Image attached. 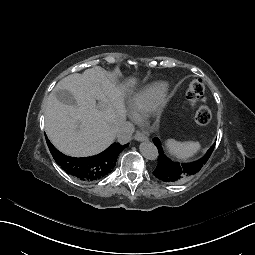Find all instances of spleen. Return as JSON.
Here are the masks:
<instances>
[{"label":"spleen","instance_id":"obj_1","mask_svg":"<svg viewBox=\"0 0 255 255\" xmlns=\"http://www.w3.org/2000/svg\"><path fill=\"white\" fill-rule=\"evenodd\" d=\"M169 148L176 153L177 156L187 157L192 155L199 148V143L196 141H170Z\"/></svg>","mask_w":255,"mask_h":255}]
</instances>
